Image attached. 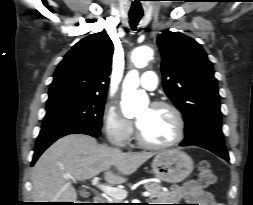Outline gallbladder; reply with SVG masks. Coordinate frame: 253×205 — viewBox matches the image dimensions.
<instances>
[{"instance_id":"bac80fb5","label":"gallbladder","mask_w":253,"mask_h":205,"mask_svg":"<svg viewBox=\"0 0 253 205\" xmlns=\"http://www.w3.org/2000/svg\"><path fill=\"white\" fill-rule=\"evenodd\" d=\"M82 196H87L88 194L86 192H81Z\"/></svg>"}]
</instances>
